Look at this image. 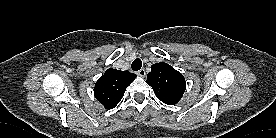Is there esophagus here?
Segmentation results:
<instances>
[{"label": "esophagus", "instance_id": "1", "mask_svg": "<svg viewBox=\"0 0 276 138\" xmlns=\"http://www.w3.org/2000/svg\"><path fill=\"white\" fill-rule=\"evenodd\" d=\"M138 75L141 76V77H145V75H146L145 69L144 68L140 69L138 71Z\"/></svg>", "mask_w": 276, "mask_h": 138}]
</instances>
